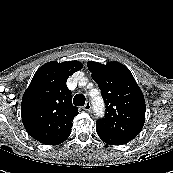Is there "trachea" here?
I'll return each instance as SVG.
<instances>
[{
    "label": "trachea",
    "instance_id": "obj_1",
    "mask_svg": "<svg viewBox=\"0 0 173 173\" xmlns=\"http://www.w3.org/2000/svg\"><path fill=\"white\" fill-rule=\"evenodd\" d=\"M86 98L84 94H76L73 98V104L75 106H83L85 104Z\"/></svg>",
    "mask_w": 173,
    "mask_h": 173
}]
</instances>
